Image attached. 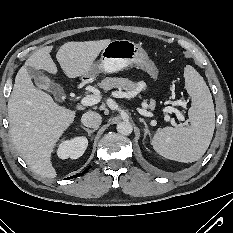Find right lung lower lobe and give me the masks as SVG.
I'll use <instances>...</instances> for the list:
<instances>
[{
  "instance_id": "1",
  "label": "right lung lower lobe",
  "mask_w": 233,
  "mask_h": 233,
  "mask_svg": "<svg viewBox=\"0 0 233 233\" xmlns=\"http://www.w3.org/2000/svg\"><path fill=\"white\" fill-rule=\"evenodd\" d=\"M89 168H90V167H88L84 172H82V173H80V174H78V175H74V176L69 177V179L84 175V174L89 170Z\"/></svg>"
}]
</instances>
